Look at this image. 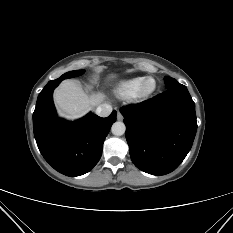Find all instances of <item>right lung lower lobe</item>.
Listing matches in <instances>:
<instances>
[{
  "mask_svg": "<svg viewBox=\"0 0 233 233\" xmlns=\"http://www.w3.org/2000/svg\"><path fill=\"white\" fill-rule=\"evenodd\" d=\"M60 82L49 81L38 96L33 113L34 136L41 154L55 170L71 177L80 176L99 161L117 112L106 118L89 113L74 123L58 119L52 94Z\"/></svg>",
  "mask_w": 233,
  "mask_h": 233,
  "instance_id": "1",
  "label": "right lung lower lobe"
}]
</instances>
